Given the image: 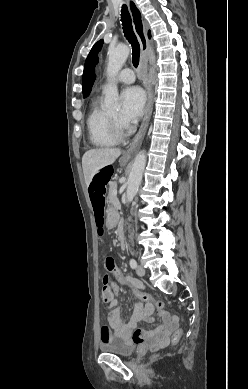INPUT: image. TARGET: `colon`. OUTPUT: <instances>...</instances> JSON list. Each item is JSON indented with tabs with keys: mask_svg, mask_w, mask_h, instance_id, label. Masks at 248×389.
I'll return each mask as SVG.
<instances>
[{
	"mask_svg": "<svg viewBox=\"0 0 248 389\" xmlns=\"http://www.w3.org/2000/svg\"><path fill=\"white\" fill-rule=\"evenodd\" d=\"M112 175L113 172L111 170V167L109 165H103L101 167L100 175H95L94 179H91L89 181L90 184L89 198L94 211L95 218L104 215V200H105L104 192L107 191V186L111 181ZM102 221H103L102 217H99L97 219V224L99 225L100 234L103 231ZM104 264L107 270V272L103 275L102 278V282H103L102 299L104 303L107 304V302L110 301L111 299V293H110V284H111L112 294L116 298H119L121 296V293L119 292L121 290V287L123 288L128 287L132 291L134 297L146 302L150 308L162 310L165 307V303L163 301H156L149 294L136 289V286L131 281L126 282L125 274L122 273V268L117 267V265L114 264V259L112 257H106ZM109 272L112 274L114 279L117 280V282L110 279ZM119 284L121 287L119 286ZM183 334H184V330L178 329L174 333L172 337V341L174 343L178 342L183 336Z\"/></svg>",
	"mask_w": 248,
	"mask_h": 389,
	"instance_id": "1",
	"label": "colon"
}]
</instances>
